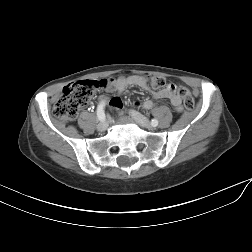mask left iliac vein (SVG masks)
Wrapping results in <instances>:
<instances>
[{"label": "left iliac vein", "mask_w": 252, "mask_h": 252, "mask_svg": "<svg viewBox=\"0 0 252 252\" xmlns=\"http://www.w3.org/2000/svg\"><path fill=\"white\" fill-rule=\"evenodd\" d=\"M129 114L133 117V119L144 128H151L149 120L144 117L142 114L138 113L135 110H130Z\"/></svg>", "instance_id": "1"}]
</instances>
